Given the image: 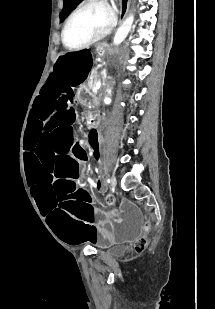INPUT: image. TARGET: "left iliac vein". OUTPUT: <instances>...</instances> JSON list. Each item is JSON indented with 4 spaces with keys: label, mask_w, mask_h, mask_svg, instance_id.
<instances>
[{
    "label": "left iliac vein",
    "mask_w": 215,
    "mask_h": 309,
    "mask_svg": "<svg viewBox=\"0 0 215 309\" xmlns=\"http://www.w3.org/2000/svg\"><path fill=\"white\" fill-rule=\"evenodd\" d=\"M110 183H111V188L114 189L117 185V179L114 175L111 176Z\"/></svg>",
    "instance_id": "obj_1"
}]
</instances>
